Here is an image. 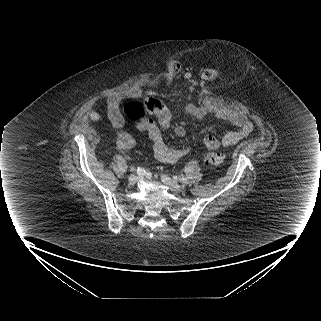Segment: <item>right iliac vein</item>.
I'll use <instances>...</instances> for the list:
<instances>
[{
	"label": "right iliac vein",
	"mask_w": 321,
	"mask_h": 321,
	"mask_svg": "<svg viewBox=\"0 0 321 321\" xmlns=\"http://www.w3.org/2000/svg\"><path fill=\"white\" fill-rule=\"evenodd\" d=\"M138 180H139V176L135 174L130 175V177L128 178V182L131 185L136 184Z\"/></svg>",
	"instance_id": "63e3f726"
}]
</instances>
